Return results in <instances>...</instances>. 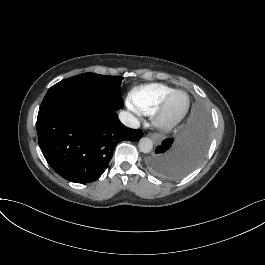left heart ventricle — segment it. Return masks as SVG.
<instances>
[{"mask_svg":"<svg viewBox=\"0 0 265 265\" xmlns=\"http://www.w3.org/2000/svg\"><path fill=\"white\" fill-rule=\"evenodd\" d=\"M186 98L183 94H177L171 101L168 114L172 117L179 115L185 106Z\"/></svg>","mask_w":265,"mask_h":265,"instance_id":"obj_1","label":"left heart ventricle"}]
</instances>
